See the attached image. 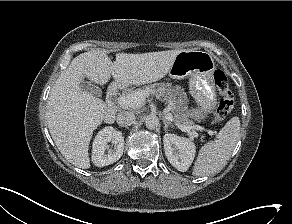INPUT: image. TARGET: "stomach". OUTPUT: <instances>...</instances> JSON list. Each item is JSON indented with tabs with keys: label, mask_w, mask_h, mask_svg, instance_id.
Here are the masks:
<instances>
[{
	"label": "stomach",
	"mask_w": 292,
	"mask_h": 224,
	"mask_svg": "<svg viewBox=\"0 0 292 224\" xmlns=\"http://www.w3.org/2000/svg\"><path fill=\"white\" fill-rule=\"evenodd\" d=\"M214 72L213 56L197 50L181 51L168 71L171 78H189L190 93L198 104V108L192 110L190 116L197 121L203 120L216 105Z\"/></svg>",
	"instance_id": "0dacf381"
}]
</instances>
